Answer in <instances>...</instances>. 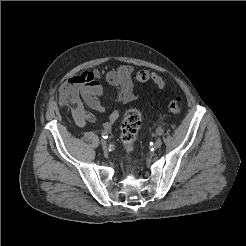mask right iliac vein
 <instances>
[{"instance_id":"obj_1","label":"right iliac vein","mask_w":246,"mask_h":246,"mask_svg":"<svg viewBox=\"0 0 246 246\" xmlns=\"http://www.w3.org/2000/svg\"><path fill=\"white\" fill-rule=\"evenodd\" d=\"M107 145H108V144H107V141L102 139V140H101V146H102V148H103V149H106V148H107Z\"/></svg>"}]
</instances>
